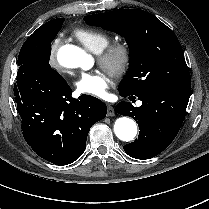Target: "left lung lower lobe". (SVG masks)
I'll use <instances>...</instances> for the list:
<instances>
[{"label": "left lung lower lobe", "mask_w": 209, "mask_h": 209, "mask_svg": "<svg viewBox=\"0 0 209 209\" xmlns=\"http://www.w3.org/2000/svg\"><path fill=\"white\" fill-rule=\"evenodd\" d=\"M190 92L189 88L171 89L160 85L135 95L143 102L140 107H133L129 102L118 103L116 112L132 117L140 128L138 139L125 145V152L133 158L145 160L166 149L183 123Z\"/></svg>", "instance_id": "1"}]
</instances>
